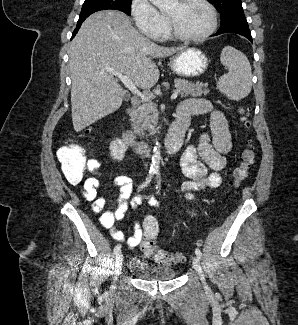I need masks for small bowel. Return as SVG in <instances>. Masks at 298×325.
Listing matches in <instances>:
<instances>
[{"mask_svg": "<svg viewBox=\"0 0 298 325\" xmlns=\"http://www.w3.org/2000/svg\"><path fill=\"white\" fill-rule=\"evenodd\" d=\"M186 102L196 103L202 108V113H210V134L201 135L198 147L189 146L180 159V167L183 174L188 178L182 184V190L189 199H193V192L205 188H217L222 183L220 171L226 166L225 154L232 148L231 133L224 114L215 110L204 100H189ZM114 185L118 190V196L114 207L105 210L106 201L98 197L97 191L100 187L99 178L95 173L91 174L83 183L81 195L91 202L93 212L100 213L101 225L110 230L112 237L117 241H124L125 236L117 229L128 210V199L132 192V182L128 176L120 175L114 179ZM144 200L151 206L159 207V201L152 196H135L132 198L131 207H138ZM142 229L138 222L134 224L133 234L127 239V244L135 247L140 243Z\"/></svg>", "mask_w": 298, "mask_h": 325, "instance_id": "c3829d8e", "label": "small bowel"}]
</instances>
